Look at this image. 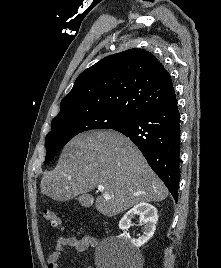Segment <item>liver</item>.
I'll return each instance as SVG.
<instances>
[{"instance_id": "obj_1", "label": "liver", "mask_w": 221, "mask_h": 268, "mask_svg": "<svg viewBox=\"0 0 221 268\" xmlns=\"http://www.w3.org/2000/svg\"><path fill=\"white\" fill-rule=\"evenodd\" d=\"M103 186L96 209L108 217L139 203L162 201L168 190L142 153L127 138L113 130L82 133L63 149L53 171L41 179V193L56 201H69Z\"/></svg>"}]
</instances>
